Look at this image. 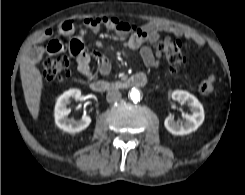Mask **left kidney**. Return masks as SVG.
<instances>
[{
	"instance_id": "5707ae66",
	"label": "left kidney",
	"mask_w": 245,
	"mask_h": 195,
	"mask_svg": "<svg viewBox=\"0 0 245 195\" xmlns=\"http://www.w3.org/2000/svg\"><path fill=\"white\" fill-rule=\"evenodd\" d=\"M172 99L186 103L191 109V114L184 116V124L175 122L174 117L169 115L164 121L165 128L173 135H186L197 130L205 118L204 109L199 100L189 92L181 90L174 91Z\"/></svg>"
}]
</instances>
